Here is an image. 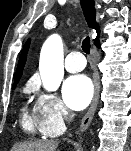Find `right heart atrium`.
Instances as JSON below:
<instances>
[{"label":"right heart atrium","mask_w":131,"mask_h":151,"mask_svg":"<svg viewBox=\"0 0 131 151\" xmlns=\"http://www.w3.org/2000/svg\"><path fill=\"white\" fill-rule=\"evenodd\" d=\"M41 132L46 136H56L65 129L69 117L61 100L52 93L40 92L35 104Z\"/></svg>","instance_id":"right-heart-atrium-1"}]
</instances>
